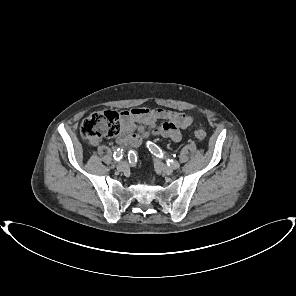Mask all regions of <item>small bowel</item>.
<instances>
[{
    "instance_id": "1",
    "label": "small bowel",
    "mask_w": 296,
    "mask_h": 296,
    "mask_svg": "<svg viewBox=\"0 0 296 296\" xmlns=\"http://www.w3.org/2000/svg\"><path fill=\"white\" fill-rule=\"evenodd\" d=\"M117 143L124 147H138L150 136H161L175 142L181 140V130L192 123V118L181 111L164 108L138 107L120 113ZM158 120H164L157 125Z\"/></svg>"
}]
</instances>
